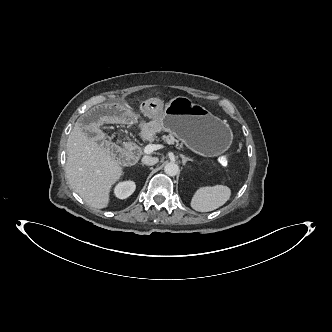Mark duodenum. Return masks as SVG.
<instances>
[{
    "mask_svg": "<svg viewBox=\"0 0 332 332\" xmlns=\"http://www.w3.org/2000/svg\"><path fill=\"white\" fill-rule=\"evenodd\" d=\"M120 158L125 162L131 163L134 161L135 155L133 152H131L129 150H122L120 152Z\"/></svg>",
    "mask_w": 332,
    "mask_h": 332,
    "instance_id": "obj_1",
    "label": "duodenum"
}]
</instances>
